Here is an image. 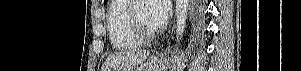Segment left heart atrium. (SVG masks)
I'll use <instances>...</instances> for the list:
<instances>
[{"label":"left heart atrium","mask_w":301,"mask_h":71,"mask_svg":"<svg viewBox=\"0 0 301 71\" xmlns=\"http://www.w3.org/2000/svg\"><path fill=\"white\" fill-rule=\"evenodd\" d=\"M152 17L155 22L156 28H162L171 13V5L168 0H150Z\"/></svg>","instance_id":"obj_1"}]
</instances>
